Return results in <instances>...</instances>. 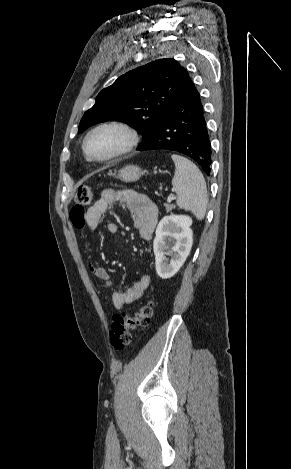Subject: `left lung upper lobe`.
Segmentation results:
<instances>
[{
	"label": "left lung upper lobe",
	"instance_id": "obj_1",
	"mask_svg": "<svg viewBox=\"0 0 291 469\" xmlns=\"http://www.w3.org/2000/svg\"><path fill=\"white\" fill-rule=\"evenodd\" d=\"M191 82L178 61H153L120 76L96 97L79 132L99 122L121 121L139 130L146 141Z\"/></svg>",
	"mask_w": 291,
	"mask_h": 469
}]
</instances>
